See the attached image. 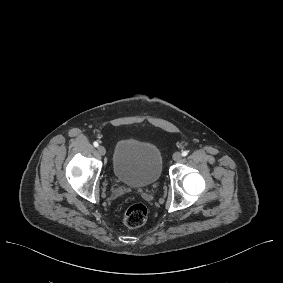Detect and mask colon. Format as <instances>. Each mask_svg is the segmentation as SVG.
<instances>
[{
    "label": "colon",
    "instance_id": "5ec220e1",
    "mask_svg": "<svg viewBox=\"0 0 283 283\" xmlns=\"http://www.w3.org/2000/svg\"><path fill=\"white\" fill-rule=\"evenodd\" d=\"M147 219V208L139 202H129L124 207L123 221L129 228L142 226Z\"/></svg>",
    "mask_w": 283,
    "mask_h": 283
}]
</instances>
